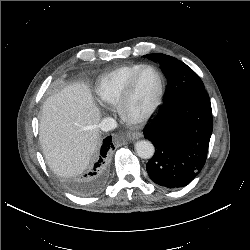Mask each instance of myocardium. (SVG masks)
Here are the masks:
<instances>
[{
    "label": "myocardium",
    "instance_id": "f54148a6",
    "mask_svg": "<svg viewBox=\"0 0 250 250\" xmlns=\"http://www.w3.org/2000/svg\"><path fill=\"white\" fill-rule=\"evenodd\" d=\"M146 70L153 71L157 78H158V88L157 92L151 102V104L148 106V108L142 112L141 114L134 115L131 114L129 111V103L132 98L136 83L142 73ZM163 94H164V80L157 68L154 66L146 65L142 67L140 70H138L135 75L130 79L129 83L127 84L119 102H118V110L122 117V119L131 125H142L148 122L157 112L159 109L162 100H163Z\"/></svg>",
    "mask_w": 250,
    "mask_h": 250
}]
</instances>
